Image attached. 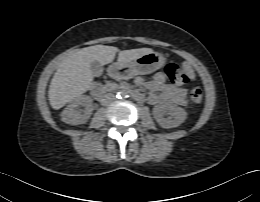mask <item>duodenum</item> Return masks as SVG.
I'll list each match as a JSON object with an SVG mask.
<instances>
[{"label":"duodenum","mask_w":260,"mask_h":202,"mask_svg":"<svg viewBox=\"0 0 260 202\" xmlns=\"http://www.w3.org/2000/svg\"><path fill=\"white\" fill-rule=\"evenodd\" d=\"M110 72H111V74H112L113 76H119V75H121V74L123 73V70H122V68H120V67L113 66V67L111 68ZM125 90H126V89H125ZM91 92H92L96 97H101V96L103 95V92H102L100 89H98L97 87H92V88H91ZM131 93H132L133 97L136 98V99H142V98H143L142 94L139 93V92L131 91Z\"/></svg>","instance_id":"duodenum-1"}]
</instances>
